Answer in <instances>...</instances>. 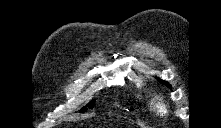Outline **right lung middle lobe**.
Wrapping results in <instances>:
<instances>
[{
	"label": "right lung middle lobe",
	"instance_id": "obj_1",
	"mask_svg": "<svg viewBox=\"0 0 221 128\" xmlns=\"http://www.w3.org/2000/svg\"><path fill=\"white\" fill-rule=\"evenodd\" d=\"M94 103H95V100L90 101V102L87 104V107L90 108V109H92L93 106H94ZM85 110H86L85 107L81 109V111H85Z\"/></svg>",
	"mask_w": 221,
	"mask_h": 128
}]
</instances>
